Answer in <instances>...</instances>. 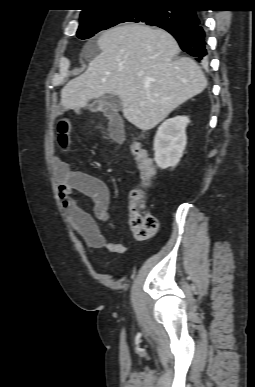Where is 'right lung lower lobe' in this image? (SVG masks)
I'll list each match as a JSON object with an SVG mask.
<instances>
[{
	"mask_svg": "<svg viewBox=\"0 0 255 387\" xmlns=\"http://www.w3.org/2000/svg\"><path fill=\"white\" fill-rule=\"evenodd\" d=\"M183 23L162 25L178 41L181 49L199 62L207 60L206 38L201 13L189 7L180 8Z\"/></svg>",
	"mask_w": 255,
	"mask_h": 387,
	"instance_id": "98d812e1",
	"label": "right lung lower lobe"
}]
</instances>
